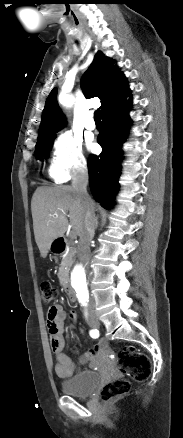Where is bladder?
Here are the masks:
<instances>
[{
	"mask_svg": "<svg viewBox=\"0 0 183 438\" xmlns=\"http://www.w3.org/2000/svg\"><path fill=\"white\" fill-rule=\"evenodd\" d=\"M100 379V373L85 371L63 381L61 388L67 395L87 397L93 392Z\"/></svg>",
	"mask_w": 183,
	"mask_h": 438,
	"instance_id": "31cf9c89",
	"label": "bladder"
}]
</instances>
